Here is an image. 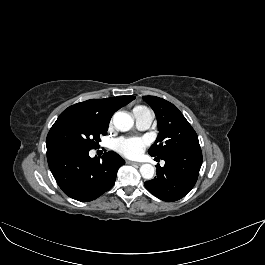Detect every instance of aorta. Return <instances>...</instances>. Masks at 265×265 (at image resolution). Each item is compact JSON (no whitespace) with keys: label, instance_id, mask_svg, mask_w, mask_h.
I'll use <instances>...</instances> for the list:
<instances>
[{"label":"aorta","instance_id":"1","mask_svg":"<svg viewBox=\"0 0 265 265\" xmlns=\"http://www.w3.org/2000/svg\"><path fill=\"white\" fill-rule=\"evenodd\" d=\"M114 126L121 132L129 131L133 125V118L125 112H117L113 117ZM155 169L151 164H143L140 167V174L145 179H152Z\"/></svg>","mask_w":265,"mask_h":265}]
</instances>
